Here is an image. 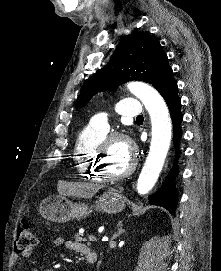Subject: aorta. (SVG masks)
I'll use <instances>...</instances> for the list:
<instances>
[{
	"mask_svg": "<svg viewBox=\"0 0 221 271\" xmlns=\"http://www.w3.org/2000/svg\"><path fill=\"white\" fill-rule=\"evenodd\" d=\"M127 88L144 104L152 124L150 150L137 181V191L144 195L154 187L163 168L170 147L172 123L164 99L153 87L131 82Z\"/></svg>",
	"mask_w": 221,
	"mask_h": 271,
	"instance_id": "1",
	"label": "aorta"
}]
</instances>
